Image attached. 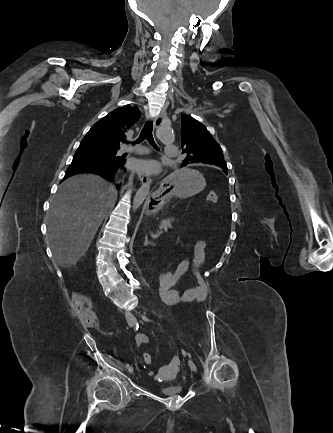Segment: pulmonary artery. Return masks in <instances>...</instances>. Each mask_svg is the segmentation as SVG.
Wrapping results in <instances>:
<instances>
[{"label": "pulmonary artery", "mask_w": 333, "mask_h": 433, "mask_svg": "<svg viewBox=\"0 0 333 433\" xmlns=\"http://www.w3.org/2000/svg\"><path fill=\"white\" fill-rule=\"evenodd\" d=\"M122 153H148L149 149L144 146H135V147H129V146H123L121 149ZM164 153L168 156H173L175 153V146L172 144H166L164 146Z\"/></svg>", "instance_id": "obj_1"}]
</instances>
